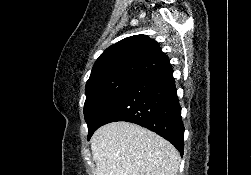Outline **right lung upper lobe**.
Instances as JSON below:
<instances>
[{
    "label": "right lung upper lobe",
    "mask_w": 251,
    "mask_h": 175,
    "mask_svg": "<svg viewBox=\"0 0 251 175\" xmlns=\"http://www.w3.org/2000/svg\"><path fill=\"white\" fill-rule=\"evenodd\" d=\"M172 69L168 56L147 35L127 37L107 48L96 60L86 84L127 75L139 80Z\"/></svg>",
    "instance_id": "obj_1"
}]
</instances>
